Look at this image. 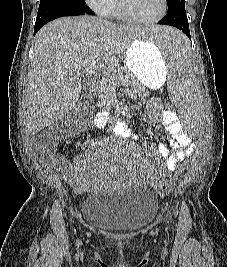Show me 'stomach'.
Masks as SVG:
<instances>
[{"mask_svg": "<svg viewBox=\"0 0 227 267\" xmlns=\"http://www.w3.org/2000/svg\"><path fill=\"white\" fill-rule=\"evenodd\" d=\"M124 64L141 84L151 89L164 84L169 68L163 55H156L154 43L137 39L126 49Z\"/></svg>", "mask_w": 227, "mask_h": 267, "instance_id": "1", "label": "stomach"}]
</instances>
